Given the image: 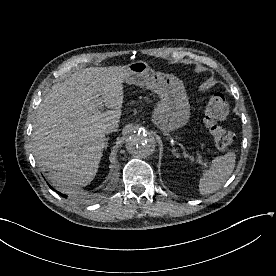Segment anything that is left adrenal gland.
Masks as SVG:
<instances>
[{
    "mask_svg": "<svg viewBox=\"0 0 276 276\" xmlns=\"http://www.w3.org/2000/svg\"><path fill=\"white\" fill-rule=\"evenodd\" d=\"M172 151L175 153L176 156H178V153L176 152V149H172Z\"/></svg>",
    "mask_w": 276,
    "mask_h": 276,
    "instance_id": "1",
    "label": "left adrenal gland"
}]
</instances>
